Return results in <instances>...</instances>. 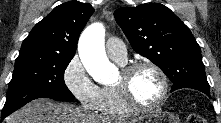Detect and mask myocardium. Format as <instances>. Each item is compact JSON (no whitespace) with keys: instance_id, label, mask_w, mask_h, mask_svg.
I'll return each mask as SVG.
<instances>
[{"instance_id":"myocardium-1","label":"myocardium","mask_w":221,"mask_h":123,"mask_svg":"<svg viewBox=\"0 0 221 123\" xmlns=\"http://www.w3.org/2000/svg\"><path fill=\"white\" fill-rule=\"evenodd\" d=\"M142 68H150L155 71L161 80L162 90L159 99L152 105H142L138 103L131 94L129 88L130 77ZM123 80L121 83L116 84L114 87L120 96L124 105L131 111L150 112L160 108L167 100L169 94V80L166 73L157 64L151 61H140L130 64L122 69L121 72Z\"/></svg>"}]
</instances>
